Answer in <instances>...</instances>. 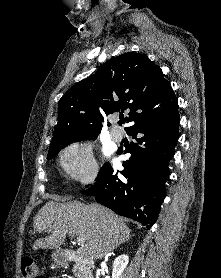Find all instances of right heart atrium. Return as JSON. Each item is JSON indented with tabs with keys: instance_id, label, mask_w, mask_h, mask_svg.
I'll use <instances>...</instances> for the list:
<instances>
[{
	"instance_id": "right-heart-atrium-1",
	"label": "right heart atrium",
	"mask_w": 221,
	"mask_h": 278,
	"mask_svg": "<svg viewBox=\"0 0 221 278\" xmlns=\"http://www.w3.org/2000/svg\"><path fill=\"white\" fill-rule=\"evenodd\" d=\"M59 158L64 172L76 182L89 183L98 176V164L86 140L70 142L61 150Z\"/></svg>"
}]
</instances>
